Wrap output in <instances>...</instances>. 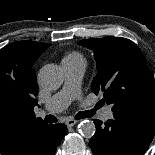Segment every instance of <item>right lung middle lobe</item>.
I'll return each instance as SVG.
<instances>
[{
  "instance_id": "obj_1",
  "label": "right lung middle lobe",
  "mask_w": 155,
  "mask_h": 155,
  "mask_svg": "<svg viewBox=\"0 0 155 155\" xmlns=\"http://www.w3.org/2000/svg\"><path fill=\"white\" fill-rule=\"evenodd\" d=\"M9 123V115L8 110L6 108L5 101L1 98L0 99V125L5 126Z\"/></svg>"
}]
</instances>
